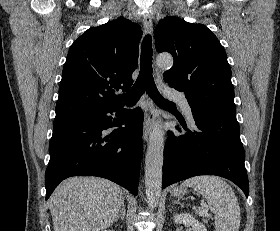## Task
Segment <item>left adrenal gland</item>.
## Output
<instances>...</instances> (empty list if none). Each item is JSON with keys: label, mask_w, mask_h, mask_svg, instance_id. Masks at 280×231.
<instances>
[{"label": "left adrenal gland", "mask_w": 280, "mask_h": 231, "mask_svg": "<svg viewBox=\"0 0 280 231\" xmlns=\"http://www.w3.org/2000/svg\"><path fill=\"white\" fill-rule=\"evenodd\" d=\"M173 203H180V201H178V199H173ZM180 205H183V203H180Z\"/></svg>", "instance_id": "a2214340"}]
</instances>
